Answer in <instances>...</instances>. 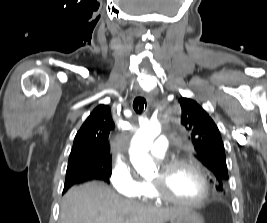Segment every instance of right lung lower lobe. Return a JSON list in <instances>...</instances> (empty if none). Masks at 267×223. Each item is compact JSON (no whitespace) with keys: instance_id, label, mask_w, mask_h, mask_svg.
Masks as SVG:
<instances>
[{"instance_id":"1","label":"right lung lower lobe","mask_w":267,"mask_h":223,"mask_svg":"<svg viewBox=\"0 0 267 223\" xmlns=\"http://www.w3.org/2000/svg\"><path fill=\"white\" fill-rule=\"evenodd\" d=\"M90 179L104 180V176L100 172L86 171V170L76 171V172L67 174L63 192H65L69 187H71L72 185L76 183L83 182L85 180H90Z\"/></svg>"}]
</instances>
